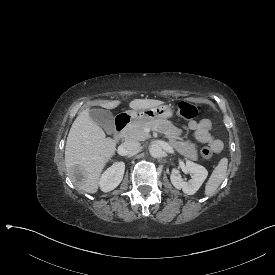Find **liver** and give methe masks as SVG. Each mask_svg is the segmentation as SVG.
Segmentation results:
<instances>
[{"label": "liver", "instance_id": "1", "mask_svg": "<svg viewBox=\"0 0 275 275\" xmlns=\"http://www.w3.org/2000/svg\"><path fill=\"white\" fill-rule=\"evenodd\" d=\"M163 103L164 101L156 99H134L129 103V107L138 111ZM120 104L121 100H112L98 103L97 106L112 110ZM89 112V108L81 111L69 130L65 146V165L69 176L74 165L82 166L86 181L78 188L94 194L99 190L103 170L115 156L117 140L106 137L104 130L90 117Z\"/></svg>", "mask_w": 275, "mask_h": 275}]
</instances>
